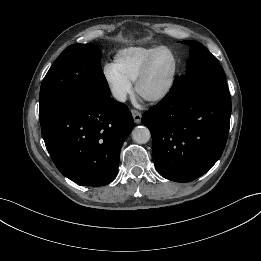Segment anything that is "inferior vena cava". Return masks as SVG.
<instances>
[{
    "mask_svg": "<svg viewBox=\"0 0 261 261\" xmlns=\"http://www.w3.org/2000/svg\"><path fill=\"white\" fill-rule=\"evenodd\" d=\"M113 96L121 102L126 101V93L122 90H113L112 91Z\"/></svg>",
    "mask_w": 261,
    "mask_h": 261,
    "instance_id": "inferior-vena-cava-1",
    "label": "inferior vena cava"
}]
</instances>
